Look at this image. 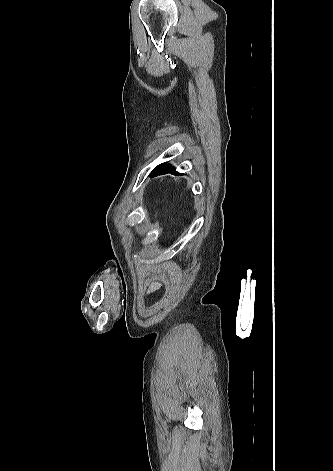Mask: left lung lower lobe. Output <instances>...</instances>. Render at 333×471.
<instances>
[{
	"instance_id": "left-lung-lower-lobe-1",
	"label": "left lung lower lobe",
	"mask_w": 333,
	"mask_h": 471,
	"mask_svg": "<svg viewBox=\"0 0 333 471\" xmlns=\"http://www.w3.org/2000/svg\"><path fill=\"white\" fill-rule=\"evenodd\" d=\"M170 172V173H174V174H179V172H176L175 171V168L171 165L168 164V168H167V173Z\"/></svg>"
}]
</instances>
